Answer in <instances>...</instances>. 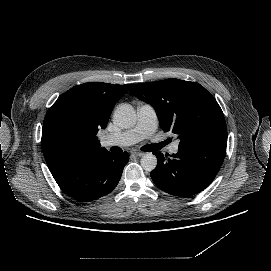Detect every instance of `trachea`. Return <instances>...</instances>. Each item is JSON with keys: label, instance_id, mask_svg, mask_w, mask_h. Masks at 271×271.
<instances>
[{"label": "trachea", "instance_id": "obj_1", "mask_svg": "<svg viewBox=\"0 0 271 271\" xmlns=\"http://www.w3.org/2000/svg\"><path fill=\"white\" fill-rule=\"evenodd\" d=\"M171 141H172L171 138H168V139H166L165 141H163L161 143L145 145V146H143L141 148V150L146 151V152H153V151H156V150H160L162 147L169 144ZM111 151H113V152H121L122 149L120 147H112Z\"/></svg>", "mask_w": 271, "mask_h": 271}]
</instances>
